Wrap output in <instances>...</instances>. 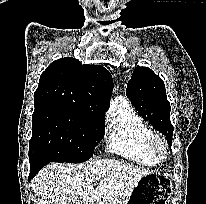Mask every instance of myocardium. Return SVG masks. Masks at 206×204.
Segmentation results:
<instances>
[{
  "mask_svg": "<svg viewBox=\"0 0 206 204\" xmlns=\"http://www.w3.org/2000/svg\"><path fill=\"white\" fill-rule=\"evenodd\" d=\"M149 152L158 162L168 157L169 148L166 141L158 136H153L149 141Z\"/></svg>",
  "mask_w": 206,
  "mask_h": 204,
  "instance_id": "myocardium-1",
  "label": "myocardium"
}]
</instances>
